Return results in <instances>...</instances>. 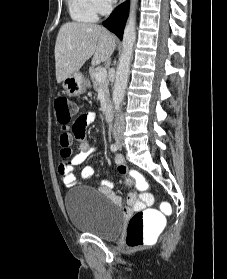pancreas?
<instances>
[{
    "label": "pancreas",
    "mask_w": 227,
    "mask_h": 279,
    "mask_svg": "<svg viewBox=\"0 0 227 279\" xmlns=\"http://www.w3.org/2000/svg\"><path fill=\"white\" fill-rule=\"evenodd\" d=\"M96 69H91L90 71V77L93 82V86L96 90L101 89L104 94V99L106 103H110V94H109V81L107 79L103 81H98L96 79Z\"/></svg>",
    "instance_id": "1"
}]
</instances>
